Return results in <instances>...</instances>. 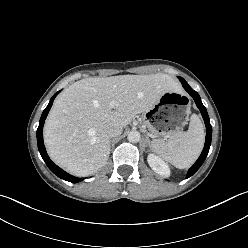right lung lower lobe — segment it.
<instances>
[{
    "label": "right lung lower lobe",
    "mask_w": 248,
    "mask_h": 248,
    "mask_svg": "<svg viewBox=\"0 0 248 248\" xmlns=\"http://www.w3.org/2000/svg\"><path fill=\"white\" fill-rule=\"evenodd\" d=\"M60 92V91H59ZM57 92L51 99L50 102L48 104V106L45 108V110L42 113V116L40 118L39 121V126L37 129V144H38V149L39 152L43 158V160L45 161L46 165L48 166V168L58 177H60L61 179H64L66 181L72 182V183H77L83 180V178H77L74 177L68 173H66L65 171H63L61 168H59L57 165H55L49 158V156L47 155L45 146H44V142H43V126H44V122L45 119L48 115V112L53 104V101L55 99V97L57 96V94L59 93Z\"/></svg>",
    "instance_id": "obj_1"
}]
</instances>
